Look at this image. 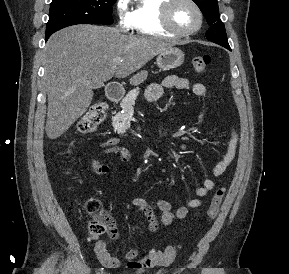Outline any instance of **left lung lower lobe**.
Returning a JSON list of instances; mask_svg holds the SVG:
<instances>
[{
  "instance_id": "left-lung-lower-lobe-1",
  "label": "left lung lower lobe",
  "mask_w": 289,
  "mask_h": 274,
  "mask_svg": "<svg viewBox=\"0 0 289 274\" xmlns=\"http://www.w3.org/2000/svg\"><path fill=\"white\" fill-rule=\"evenodd\" d=\"M223 47H224V46H223ZM225 48H227V49L231 50L229 46H226Z\"/></svg>"
}]
</instances>
